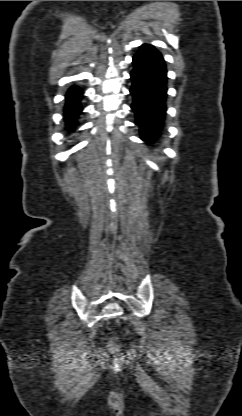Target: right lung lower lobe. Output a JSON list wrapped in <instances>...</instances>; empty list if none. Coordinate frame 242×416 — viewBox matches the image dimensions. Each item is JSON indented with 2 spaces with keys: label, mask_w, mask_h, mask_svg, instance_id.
Returning a JSON list of instances; mask_svg holds the SVG:
<instances>
[{
  "label": "right lung lower lobe",
  "mask_w": 242,
  "mask_h": 416,
  "mask_svg": "<svg viewBox=\"0 0 242 416\" xmlns=\"http://www.w3.org/2000/svg\"><path fill=\"white\" fill-rule=\"evenodd\" d=\"M83 91L78 87L72 86L66 94V104L64 107V117L69 131H74L77 125V118L82 112L81 99Z\"/></svg>",
  "instance_id": "1"
}]
</instances>
